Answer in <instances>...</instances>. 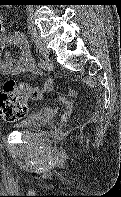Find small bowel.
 I'll list each match as a JSON object with an SVG mask.
<instances>
[{
    "label": "small bowel",
    "mask_w": 121,
    "mask_h": 197,
    "mask_svg": "<svg viewBox=\"0 0 121 197\" xmlns=\"http://www.w3.org/2000/svg\"><path fill=\"white\" fill-rule=\"evenodd\" d=\"M3 14L0 12V73L5 75H15L21 72L34 71L35 62L31 53L27 37L22 32L9 33L2 27ZM19 47L20 55L15 58L11 54L13 47ZM52 81L46 80L40 88L33 87L35 97L39 100L45 93L50 91Z\"/></svg>",
    "instance_id": "c3829d8e"
}]
</instances>
